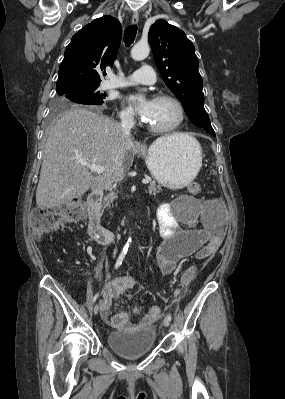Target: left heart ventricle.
Returning <instances> with one entry per match:
<instances>
[{
	"mask_svg": "<svg viewBox=\"0 0 285 399\" xmlns=\"http://www.w3.org/2000/svg\"><path fill=\"white\" fill-rule=\"evenodd\" d=\"M178 119L179 111L174 103L168 100H155L147 122L156 127H167L175 124Z\"/></svg>",
	"mask_w": 285,
	"mask_h": 399,
	"instance_id": "obj_1",
	"label": "left heart ventricle"
}]
</instances>
